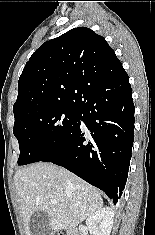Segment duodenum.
<instances>
[{
    "instance_id": "1",
    "label": "duodenum",
    "mask_w": 155,
    "mask_h": 235,
    "mask_svg": "<svg viewBox=\"0 0 155 235\" xmlns=\"http://www.w3.org/2000/svg\"><path fill=\"white\" fill-rule=\"evenodd\" d=\"M67 235H80V232L76 228H70L67 231Z\"/></svg>"
}]
</instances>
